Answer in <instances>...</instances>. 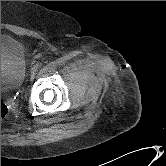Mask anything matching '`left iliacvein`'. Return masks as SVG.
I'll use <instances>...</instances> for the list:
<instances>
[{
    "mask_svg": "<svg viewBox=\"0 0 166 166\" xmlns=\"http://www.w3.org/2000/svg\"><path fill=\"white\" fill-rule=\"evenodd\" d=\"M37 66L35 65V66H33L32 67V69H31V73L33 74V75H35L36 73H37Z\"/></svg>",
    "mask_w": 166,
    "mask_h": 166,
    "instance_id": "1",
    "label": "left iliac vein"
}]
</instances>
